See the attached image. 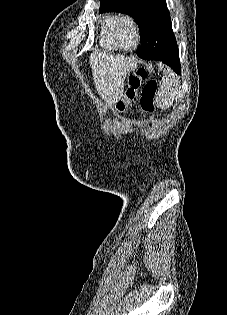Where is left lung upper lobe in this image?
Here are the masks:
<instances>
[{"mask_svg":"<svg viewBox=\"0 0 227 315\" xmlns=\"http://www.w3.org/2000/svg\"><path fill=\"white\" fill-rule=\"evenodd\" d=\"M116 11L132 16L142 39L152 38L162 51L178 50L165 0H100V12Z\"/></svg>","mask_w":227,"mask_h":315,"instance_id":"obj_1","label":"left lung upper lobe"}]
</instances>
